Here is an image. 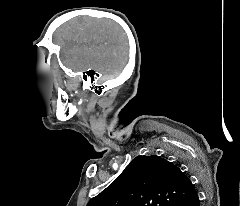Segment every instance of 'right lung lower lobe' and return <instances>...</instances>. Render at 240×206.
Here are the masks:
<instances>
[{"instance_id":"1","label":"right lung lower lobe","mask_w":240,"mask_h":206,"mask_svg":"<svg viewBox=\"0 0 240 206\" xmlns=\"http://www.w3.org/2000/svg\"><path fill=\"white\" fill-rule=\"evenodd\" d=\"M175 206H200L199 197L196 193L192 197L175 204Z\"/></svg>"}]
</instances>
